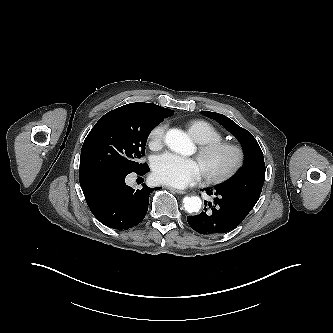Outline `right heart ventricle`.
Segmentation results:
<instances>
[{"label": "right heart ventricle", "instance_id": "e07e8e85", "mask_svg": "<svg viewBox=\"0 0 333 333\" xmlns=\"http://www.w3.org/2000/svg\"><path fill=\"white\" fill-rule=\"evenodd\" d=\"M187 129L193 139L200 145L222 141L223 139L220 130L206 120H193L188 123Z\"/></svg>", "mask_w": 333, "mask_h": 333}]
</instances>
